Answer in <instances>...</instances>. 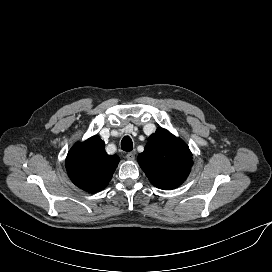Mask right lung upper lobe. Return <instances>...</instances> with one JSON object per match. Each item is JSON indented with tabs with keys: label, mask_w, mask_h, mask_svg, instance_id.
Here are the masks:
<instances>
[{
	"label": "right lung upper lobe",
	"mask_w": 272,
	"mask_h": 272,
	"mask_svg": "<svg viewBox=\"0 0 272 272\" xmlns=\"http://www.w3.org/2000/svg\"><path fill=\"white\" fill-rule=\"evenodd\" d=\"M119 163L117 155H108L105 143L93 136L83 143H76L66 158V170L71 181L87 192L104 189Z\"/></svg>",
	"instance_id": "1"
}]
</instances>
